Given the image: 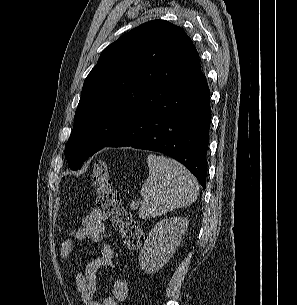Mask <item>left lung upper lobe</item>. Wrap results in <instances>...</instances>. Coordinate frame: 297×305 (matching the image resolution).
Segmentation results:
<instances>
[{"label": "left lung upper lobe", "instance_id": "left-lung-upper-lobe-1", "mask_svg": "<svg viewBox=\"0 0 297 305\" xmlns=\"http://www.w3.org/2000/svg\"><path fill=\"white\" fill-rule=\"evenodd\" d=\"M199 54L178 26L152 20L106 47L85 79L65 146L71 169L108 144L154 86L200 70Z\"/></svg>", "mask_w": 297, "mask_h": 305}]
</instances>
